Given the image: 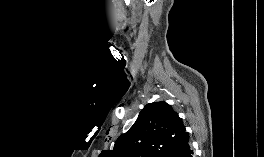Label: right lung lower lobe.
<instances>
[{
	"label": "right lung lower lobe",
	"mask_w": 264,
	"mask_h": 157,
	"mask_svg": "<svg viewBox=\"0 0 264 157\" xmlns=\"http://www.w3.org/2000/svg\"><path fill=\"white\" fill-rule=\"evenodd\" d=\"M173 157H194L193 150L191 149L189 143L181 148Z\"/></svg>",
	"instance_id": "right-lung-lower-lobe-1"
}]
</instances>
